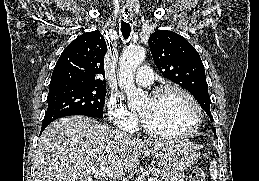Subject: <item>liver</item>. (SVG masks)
<instances>
[{"instance_id":"6515ba94","label":"liver","mask_w":259,"mask_h":181,"mask_svg":"<svg viewBox=\"0 0 259 181\" xmlns=\"http://www.w3.org/2000/svg\"><path fill=\"white\" fill-rule=\"evenodd\" d=\"M169 141H142L85 116L53 121L36 149V181H93L88 170L107 168L104 181H119Z\"/></svg>"}]
</instances>
